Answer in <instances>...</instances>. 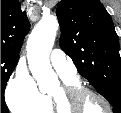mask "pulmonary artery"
Returning <instances> with one entry per match:
<instances>
[{
  "label": "pulmonary artery",
  "instance_id": "pulmonary-artery-1",
  "mask_svg": "<svg viewBox=\"0 0 121 113\" xmlns=\"http://www.w3.org/2000/svg\"><path fill=\"white\" fill-rule=\"evenodd\" d=\"M50 61L61 78H76L77 69L73 62L69 60L65 53L60 49L53 50Z\"/></svg>",
  "mask_w": 121,
  "mask_h": 113
}]
</instances>
